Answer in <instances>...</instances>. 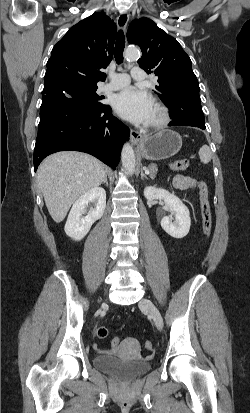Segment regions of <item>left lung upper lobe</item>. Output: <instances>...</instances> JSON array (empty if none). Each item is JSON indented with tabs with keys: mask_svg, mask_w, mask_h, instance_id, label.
Returning a JSON list of instances; mask_svg holds the SVG:
<instances>
[{
	"mask_svg": "<svg viewBox=\"0 0 250 413\" xmlns=\"http://www.w3.org/2000/svg\"><path fill=\"white\" fill-rule=\"evenodd\" d=\"M129 43L142 50L139 66L158 76L157 94L167 107L176 99L199 95L191 60L179 42L148 18L134 20L127 32Z\"/></svg>",
	"mask_w": 250,
	"mask_h": 413,
	"instance_id": "1",
	"label": "left lung upper lobe"
}]
</instances>
